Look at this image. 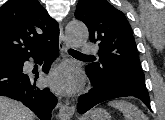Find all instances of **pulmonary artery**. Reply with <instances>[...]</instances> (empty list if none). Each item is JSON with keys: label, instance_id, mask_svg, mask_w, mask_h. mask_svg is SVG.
Wrapping results in <instances>:
<instances>
[{"label": "pulmonary artery", "instance_id": "pulmonary-artery-1", "mask_svg": "<svg viewBox=\"0 0 165 120\" xmlns=\"http://www.w3.org/2000/svg\"><path fill=\"white\" fill-rule=\"evenodd\" d=\"M97 50H98L97 46L92 43H84L82 45V52L86 55L95 54Z\"/></svg>", "mask_w": 165, "mask_h": 120}]
</instances>
